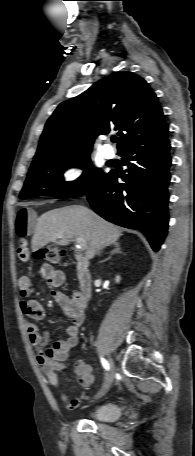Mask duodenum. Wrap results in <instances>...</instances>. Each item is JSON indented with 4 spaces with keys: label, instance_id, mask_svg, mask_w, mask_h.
Instances as JSON below:
<instances>
[{
    "label": "duodenum",
    "instance_id": "duodenum-1",
    "mask_svg": "<svg viewBox=\"0 0 195 456\" xmlns=\"http://www.w3.org/2000/svg\"><path fill=\"white\" fill-rule=\"evenodd\" d=\"M89 262L84 256L76 257V276L80 287V292L85 301L92 293V278L89 272Z\"/></svg>",
    "mask_w": 195,
    "mask_h": 456
}]
</instances>
